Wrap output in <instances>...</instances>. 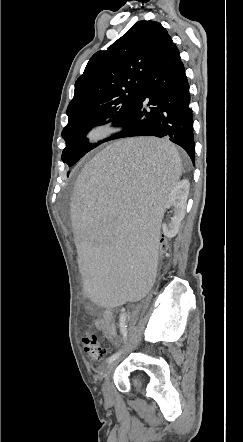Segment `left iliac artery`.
Listing matches in <instances>:
<instances>
[{"label": "left iliac artery", "mask_w": 243, "mask_h": 442, "mask_svg": "<svg viewBox=\"0 0 243 442\" xmlns=\"http://www.w3.org/2000/svg\"><path fill=\"white\" fill-rule=\"evenodd\" d=\"M126 317H127V313H123V314H121L120 319H119L120 331H121V333L123 335L125 343H126V340H127V322H126ZM122 351H123V349H121V350L115 352L114 354H112L108 358L107 362L111 363L114 360H116L121 355Z\"/></svg>", "instance_id": "1"}]
</instances>
